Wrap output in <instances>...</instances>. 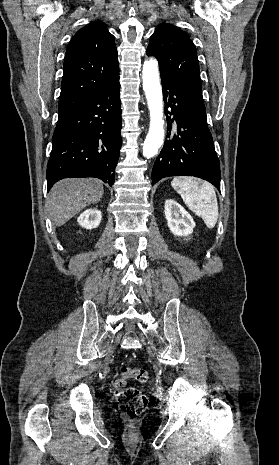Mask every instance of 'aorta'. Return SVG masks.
Instances as JSON below:
<instances>
[{
    "label": "aorta",
    "instance_id": "1",
    "mask_svg": "<svg viewBox=\"0 0 279 465\" xmlns=\"http://www.w3.org/2000/svg\"><path fill=\"white\" fill-rule=\"evenodd\" d=\"M142 79L150 111V127L143 144V156L151 158L157 154L164 140L163 95L157 60L144 62Z\"/></svg>",
    "mask_w": 279,
    "mask_h": 465
}]
</instances>
